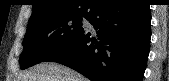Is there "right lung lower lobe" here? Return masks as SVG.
I'll use <instances>...</instances> for the list:
<instances>
[{"label": "right lung lower lobe", "instance_id": "1", "mask_svg": "<svg viewBox=\"0 0 169 81\" xmlns=\"http://www.w3.org/2000/svg\"><path fill=\"white\" fill-rule=\"evenodd\" d=\"M84 29L45 61L57 62L92 81H142L149 54L151 15L141 0H101Z\"/></svg>", "mask_w": 169, "mask_h": 81}]
</instances>
